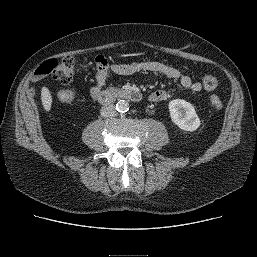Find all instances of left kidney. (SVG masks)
I'll return each mask as SVG.
<instances>
[{
	"instance_id": "1",
	"label": "left kidney",
	"mask_w": 257,
	"mask_h": 257,
	"mask_svg": "<svg viewBox=\"0 0 257 257\" xmlns=\"http://www.w3.org/2000/svg\"><path fill=\"white\" fill-rule=\"evenodd\" d=\"M170 117L180 129L195 131L200 126V119L194 106L182 99H175L169 102Z\"/></svg>"
}]
</instances>
